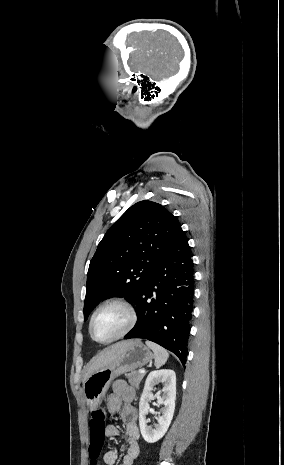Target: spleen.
Returning a JSON list of instances; mask_svg holds the SVG:
<instances>
[{"label": "spleen", "mask_w": 284, "mask_h": 465, "mask_svg": "<svg viewBox=\"0 0 284 465\" xmlns=\"http://www.w3.org/2000/svg\"><path fill=\"white\" fill-rule=\"evenodd\" d=\"M147 347L149 349H152L154 355H155V367L159 369V367H162V365H165L169 353L166 351V349H163V347H159V345H156V343H151V341H146Z\"/></svg>", "instance_id": "1"}]
</instances>
